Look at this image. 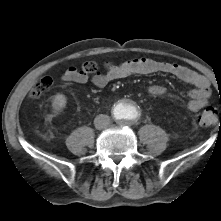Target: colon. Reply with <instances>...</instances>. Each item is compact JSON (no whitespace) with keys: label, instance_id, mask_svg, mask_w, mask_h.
Instances as JSON below:
<instances>
[{"label":"colon","instance_id":"5ec220e1","mask_svg":"<svg viewBox=\"0 0 221 221\" xmlns=\"http://www.w3.org/2000/svg\"><path fill=\"white\" fill-rule=\"evenodd\" d=\"M113 66L110 63H106L103 66L94 61H87L82 65V69L85 73L94 74L98 73L101 69H111ZM53 79L50 76L41 77L30 91V96L33 98L40 97L47 92L53 86ZM217 111L212 107L205 108L199 115L198 122L201 126L212 127L218 122ZM221 120V119H220Z\"/></svg>","mask_w":221,"mask_h":221}]
</instances>
